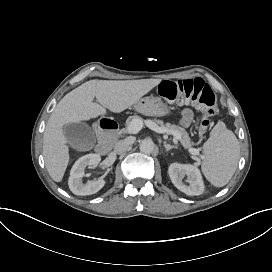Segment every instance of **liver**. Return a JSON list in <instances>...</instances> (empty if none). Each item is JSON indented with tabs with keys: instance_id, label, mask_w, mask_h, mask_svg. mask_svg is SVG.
Returning a JSON list of instances; mask_svg holds the SVG:
<instances>
[{
	"instance_id": "liver-1",
	"label": "liver",
	"mask_w": 272,
	"mask_h": 272,
	"mask_svg": "<svg viewBox=\"0 0 272 272\" xmlns=\"http://www.w3.org/2000/svg\"><path fill=\"white\" fill-rule=\"evenodd\" d=\"M162 82L161 78L137 80H90L66 94L50 115L43 136L46 169L61 182L70 160V147L63 132L69 123H81L113 113H122L138 103ZM100 103H93L94 99Z\"/></svg>"
}]
</instances>
